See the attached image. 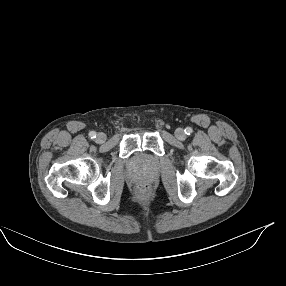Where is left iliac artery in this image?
Listing matches in <instances>:
<instances>
[{
  "label": "left iliac artery",
  "instance_id": "left-iliac-artery-1",
  "mask_svg": "<svg viewBox=\"0 0 286 286\" xmlns=\"http://www.w3.org/2000/svg\"><path fill=\"white\" fill-rule=\"evenodd\" d=\"M184 131L187 135H190L193 132L191 127H187Z\"/></svg>",
  "mask_w": 286,
  "mask_h": 286
}]
</instances>
